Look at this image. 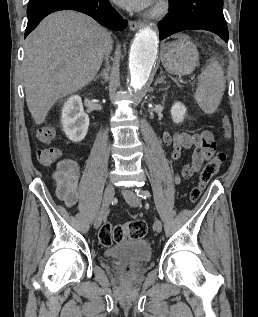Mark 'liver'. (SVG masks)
<instances>
[{"mask_svg":"<svg viewBox=\"0 0 258 317\" xmlns=\"http://www.w3.org/2000/svg\"><path fill=\"white\" fill-rule=\"evenodd\" d=\"M110 42L111 32L75 10L49 14L28 34L23 78L28 108L36 124H42L59 98L93 80Z\"/></svg>","mask_w":258,"mask_h":317,"instance_id":"obj_1","label":"liver"}]
</instances>
